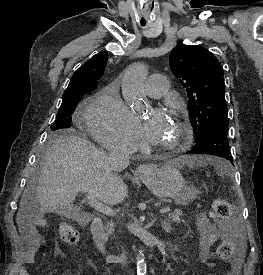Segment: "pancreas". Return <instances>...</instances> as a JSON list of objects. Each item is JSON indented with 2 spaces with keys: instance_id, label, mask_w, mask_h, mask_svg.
<instances>
[{
  "instance_id": "obj_1",
  "label": "pancreas",
  "mask_w": 263,
  "mask_h": 275,
  "mask_svg": "<svg viewBox=\"0 0 263 275\" xmlns=\"http://www.w3.org/2000/svg\"><path fill=\"white\" fill-rule=\"evenodd\" d=\"M182 216V211L181 210H174L173 212L171 213H168V217L170 219H172L173 222H179L181 219L180 217ZM114 222H108L107 225H106V232H107V235H112L113 232H114Z\"/></svg>"
}]
</instances>
